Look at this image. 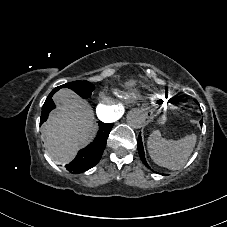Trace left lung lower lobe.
I'll return each mask as SVG.
<instances>
[{"mask_svg": "<svg viewBox=\"0 0 227 227\" xmlns=\"http://www.w3.org/2000/svg\"><path fill=\"white\" fill-rule=\"evenodd\" d=\"M202 123V122H201ZM137 143H138V152H139V156L142 160V162L148 167V164L146 162V159H145V153H144V149H143V144H142V139H141V135H139L138 137V140H137Z\"/></svg>", "mask_w": 227, "mask_h": 227, "instance_id": "left-lung-lower-lobe-1", "label": "left lung lower lobe"}]
</instances>
